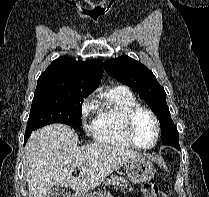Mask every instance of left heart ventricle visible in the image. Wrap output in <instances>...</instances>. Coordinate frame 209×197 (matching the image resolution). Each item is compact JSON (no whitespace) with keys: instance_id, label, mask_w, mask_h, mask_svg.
<instances>
[{"instance_id":"left-heart-ventricle-1","label":"left heart ventricle","mask_w":209,"mask_h":197,"mask_svg":"<svg viewBox=\"0 0 209 197\" xmlns=\"http://www.w3.org/2000/svg\"><path fill=\"white\" fill-rule=\"evenodd\" d=\"M133 134L142 146H150L155 139V125L151 116L141 111L136 114L134 119Z\"/></svg>"}]
</instances>
